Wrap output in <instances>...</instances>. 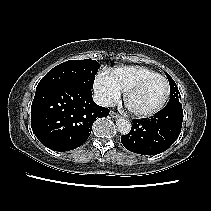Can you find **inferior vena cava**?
Returning a JSON list of instances; mask_svg holds the SVG:
<instances>
[{"mask_svg": "<svg viewBox=\"0 0 211 211\" xmlns=\"http://www.w3.org/2000/svg\"><path fill=\"white\" fill-rule=\"evenodd\" d=\"M93 100L99 106L107 107L111 105V101L101 94H94Z\"/></svg>", "mask_w": 211, "mask_h": 211, "instance_id": "obj_1", "label": "inferior vena cava"}]
</instances>
